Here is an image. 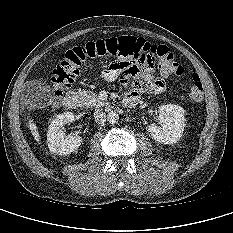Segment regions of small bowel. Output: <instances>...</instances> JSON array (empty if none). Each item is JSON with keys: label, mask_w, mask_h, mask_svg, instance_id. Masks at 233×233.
<instances>
[{"label": "small bowel", "mask_w": 233, "mask_h": 233, "mask_svg": "<svg viewBox=\"0 0 233 233\" xmlns=\"http://www.w3.org/2000/svg\"><path fill=\"white\" fill-rule=\"evenodd\" d=\"M160 65L161 56L156 51L138 52L133 58L111 64L100 77L105 81L120 79L122 84L129 88L128 94L136 96L143 92L156 94L165 89L164 80L155 78Z\"/></svg>", "instance_id": "1"}]
</instances>
